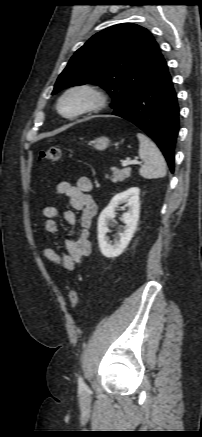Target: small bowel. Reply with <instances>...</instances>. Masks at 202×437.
<instances>
[{
  "label": "small bowel",
  "mask_w": 202,
  "mask_h": 437,
  "mask_svg": "<svg viewBox=\"0 0 202 437\" xmlns=\"http://www.w3.org/2000/svg\"><path fill=\"white\" fill-rule=\"evenodd\" d=\"M92 188V182L88 177L78 178L75 184L63 181L55 186L56 194L66 196L68 199L70 209L64 212L65 221L68 225L74 226L77 223L76 211L81 212L82 229L76 237L66 239L65 252L62 254L48 247L41 248V254L53 264L67 271H73L92 252L89 228L97 213V205L90 195ZM42 215L45 230L54 235L60 234L57 224L58 209L52 206L44 207Z\"/></svg>",
  "instance_id": "obj_1"
}]
</instances>
